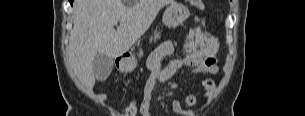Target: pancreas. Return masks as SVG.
Returning a JSON list of instances; mask_svg holds the SVG:
<instances>
[{
	"label": "pancreas",
	"instance_id": "pancreas-1",
	"mask_svg": "<svg viewBox=\"0 0 305 116\" xmlns=\"http://www.w3.org/2000/svg\"><path fill=\"white\" fill-rule=\"evenodd\" d=\"M161 38V31H155L153 35L149 37V42L156 41Z\"/></svg>",
	"mask_w": 305,
	"mask_h": 116
}]
</instances>
